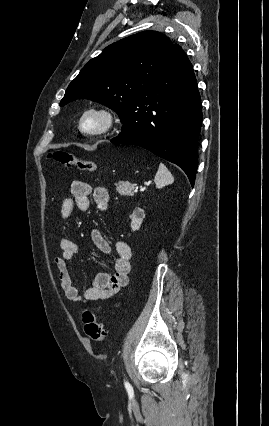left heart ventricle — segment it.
Returning <instances> with one entry per match:
<instances>
[{"mask_svg": "<svg viewBox=\"0 0 269 426\" xmlns=\"http://www.w3.org/2000/svg\"><path fill=\"white\" fill-rule=\"evenodd\" d=\"M100 120L97 117H88L85 121V127L87 129H93L97 126H99Z\"/></svg>", "mask_w": 269, "mask_h": 426, "instance_id": "1", "label": "left heart ventricle"}]
</instances>
